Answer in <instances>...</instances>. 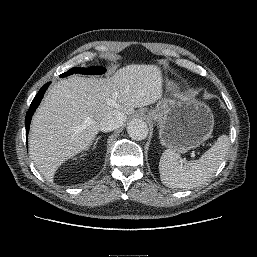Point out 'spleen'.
Listing matches in <instances>:
<instances>
[{
	"instance_id": "obj_1",
	"label": "spleen",
	"mask_w": 257,
	"mask_h": 257,
	"mask_svg": "<svg viewBox=\"0 0 257 257\" xmlns=\"http://www.w3.org/2000/svg\"><path fill=\"white\" fill-rule=\"evenodd\" d=\"M229 144V137L221 135L198 160L186 162L184 165L175 151L166 149L159 162L162 183L171 188L190 189L207 182L222 163Z\"/></svg>"
}]
</instances>
